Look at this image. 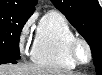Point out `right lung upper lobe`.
<instances>
[{
  "mask_svg": "<svg viewBox=\"0 0 102 75\" xmlns=\"http://www.w3.org/2000/svg\"><path fill=\"white\" fill-rule=\"evenodd\" d=\"M37 0H0V10L32 14Z\"/></svg>",
  "mask_w": 102,
  "mask_h": 75,
  "instance_id": "obj_1",
  "label": "right lung upper lobe"
}]
</instances>
